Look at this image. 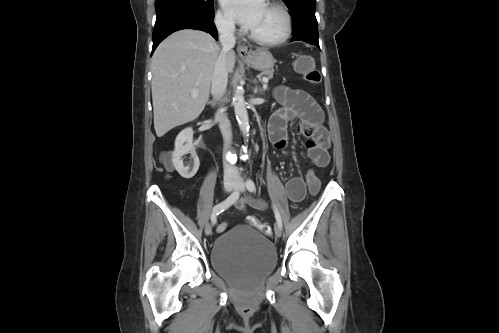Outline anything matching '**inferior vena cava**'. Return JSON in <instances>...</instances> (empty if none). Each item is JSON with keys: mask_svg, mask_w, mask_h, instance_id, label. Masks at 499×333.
<instances>
[{"mask_svg": "<svg viewBox=\"0 0 499 333\" xmlns=\"http://www.w3.org/2000/svg\"><path fill=\"white\" fill-rule=\"evenodd\" d=\"M217 26L220 33L219 40L222 45V50L215 63L212 82H211V94L216 99H219L224 95L228 82L226 55L227 52H229L235 46L236 40L234 36L235 26L232 22L222 21L219 22ZM216 120L219 123V128L223 136L224 153H226L232 141L231 124L226 115L222 111L217 113ZM223 166L225 174H237L238 172L237 168L226 162L225 159L223 162Z\"/></svg>", "mask_w": 499, "mask_h": 333, "instance_id": "602c4592", "label": "inferior vena cava"}]
</instances>
